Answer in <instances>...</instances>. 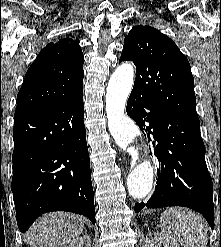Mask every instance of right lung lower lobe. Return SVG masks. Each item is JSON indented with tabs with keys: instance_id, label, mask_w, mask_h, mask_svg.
<instances>
[{
	"instance_id": "obj_1",
	"label": "right lung lower lobe",
	"mask_w": 221,
	"mask_h": 247,
	"mask_svg": "<svg viewBox=\"0 0 221 247\" xmlns=\"http://www.w3.org/2000/svg\"><path fill=\"white\" fill-rule=\"evenodd\" d=\"M83 96L15 116L12 192L26 232L43 213L69 211L95 224Z\"/></svg>"
}]
</instances>
